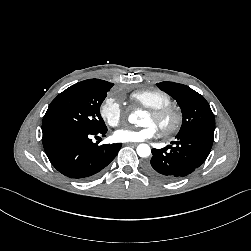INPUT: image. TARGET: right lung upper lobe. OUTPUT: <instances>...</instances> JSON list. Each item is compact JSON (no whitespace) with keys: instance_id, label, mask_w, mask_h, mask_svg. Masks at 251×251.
I'll return each mask as SVG.
<instances>
[{"instance_id":"obj_1","label":"right lung upper lobe","mask_w":251,"mask_h":251,"mask_svg":"<svg viewBox=\"0 0 251 251\" xmlns=\"http://www.w3.org/2000/svg\"><path fill=\"white\" fill-rule=\"evenodd\" d=\"M89 80H92V81H95V82H99V83H110V82H107V81H104V80H100V79H89Z\"/></svg>"}]
</instances>
